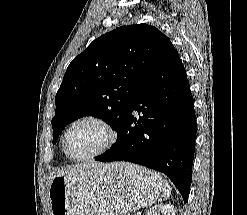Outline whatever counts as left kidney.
Wrapping results in <instances>:
<instances>
[{
	"label": "left kidney",
	"instance_id": "obj_1",
	"mask_svg": "<svg viewBox=\"0 0 247 215\" xmlns=\"http://www.w3.org/2000/svg\"><path fill=\"white\" fill-rule=\"evenodd\" d=\"M176 210L171 204L155 205L147 212L146 215H175Z\"/></svg>",
	"mask_w": 247,
	"mask_h": 215
}]
</instances>
